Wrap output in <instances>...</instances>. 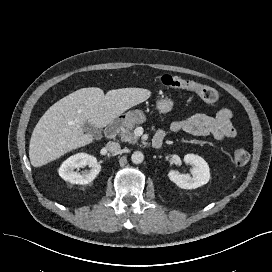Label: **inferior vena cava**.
I'll list each match as a JSON object with an SVG mask.
<instances>
[{"label":"inferior vena cava","instance_id":"inferior-vena-cava-1","mask_svg":"<svg viewBox=\"0 0 272 272\" xmlns=\"http://www.w3.org/2000/svg\"><path fill=\"white\" fill-rule=\"evenodd\" d=\"M106 149L111 153H118L121 147L119 143L110 141L106 144Z\"/></svg>","mask_w":272,"mask_h":272}]
</instances>
